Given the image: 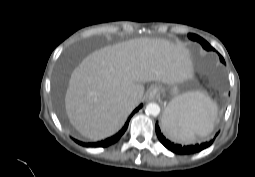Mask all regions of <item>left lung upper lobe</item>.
<instances>
[{
	"mask_svg": "<svg viewBox=\"0 0 255 177\" xmlns=\"http://www.w3.org/2000/svg\"><path fill=\"white\" fill-rule=\"evenodd\" d=\"M188 37L192 40H195V41L199 42L204 49L214 50V48L206 40H204L200 36L195 35V34H188ZM219 57H220V61L225 64V61H224L223 57L220 54H219Z\"/></svg>",
	"mask_w": 255,
	"mask_h": 177,
	"instance_id": "left-lung-upper-lobe-1",
	"label": "left lung upper lobe"
}]
</instances>
